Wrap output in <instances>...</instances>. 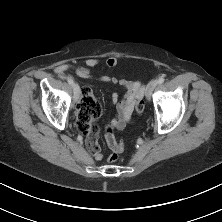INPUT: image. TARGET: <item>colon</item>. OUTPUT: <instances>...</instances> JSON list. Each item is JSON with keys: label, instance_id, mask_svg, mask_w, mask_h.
Here are the masks:
<instances>
[{"label": "colon", "instance_id": "1", "mask_svg": "<svg viewBox=\"0 0 222 222\" xmlns=\"http://www.w3.org/2000/svg\"><path fill=\"white\" fill-rule=\"evenodd\" d=\"M144 110V104L142 101L138 102L136 106V112L141 114ZM101 114V105L96 99L92 91L88 88H84L82 91L81 101L78 108L77 116V128L82 133H87L88 126L93 119H97ZM106 142L110 149L112 150L111 155L108 158L109 162H116L119 158V153H121L125 144L122 142H117L112 130L110 128L106 131Z\"/></svg>", "mask_w": 222, "mask_h": 222}]
</instances>
